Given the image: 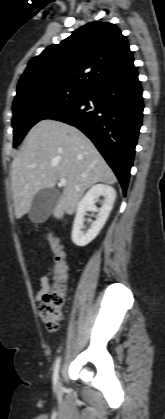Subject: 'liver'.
Masks as SVG:
<instances>
[{
	"label": "liver",
	"instance_id": "liver-1",
	"mask_svg": "<svg viewBox=\"0 0 165 419\" xmlns=\"http://www.w3.org/2000/svg\"><path fill=\"white\" fill-rule=\"evenodd\" d=\"M67 180L53 215L73 214L86 189L97 182L117 179L90 139L66 123L44 119L28 132L21 153L11 165V188L17 219L30 210L33 197L42 189Z\"/></svg>",
	"mask_w": 165,
	"mask_h": 419
}]
</instances>
